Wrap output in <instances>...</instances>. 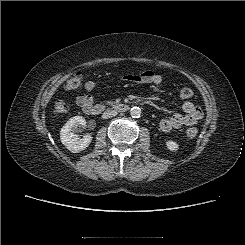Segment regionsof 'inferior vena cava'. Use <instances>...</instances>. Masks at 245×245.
<instances>
[{
  "instance_id": "obj_1",
  "label": "inferior vena cava",
  "mask_w": 245,
  "mask_h": 245,
  "mask_svg": "<svg viewBox=\"0 0 245 245\" xmlns=\"http://www.w3.org/2000/svg\"><path fill=\"white\" fill-rule=\"evenodd\" d=\"M116 115H117V111H115V110H107V111H105L102 114V118L103 119H107V118H110V117H114Z\"/></svg>"
}]
</instances>
